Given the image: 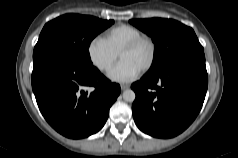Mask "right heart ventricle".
Here are the masks:
<instances>
[{
    "label": "right heart ventricle",
    "mask_w": 238,
    "mask_h": 158,
    "mask_svg": "<svg viewBox=\"0 0 238 158\" xmlns=\"http://www.w3.org/2000/svg\"><path fill=\"white\" fill-rule=\"evenodd\" d=\"M141 35L143 33L138 28L122 24L106 31L103 38L115 52L119 53L124 45Z\"/></svg>",
    "instance_id": "obj_1"
}]
</instances>
